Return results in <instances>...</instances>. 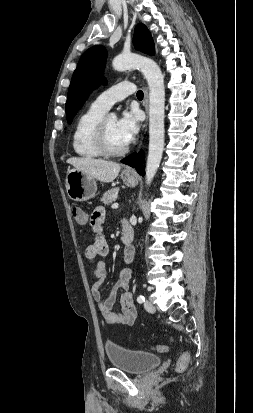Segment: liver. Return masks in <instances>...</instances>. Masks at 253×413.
Segmentation results:
<instances>
[{"label": "liver", "mask_w": 253, "mask_h": 413, "mask_svg": "<svg viewBox=\"0 0 253 413\" xmlns=\"http://www.w3.org/2000/svg\"><path fill=\"white\" fill-rule=\"evenodd\" d=\"M66 162L104 183L112 182L118 176L121 169L118 163L91 157H72Z\"/></svg>", "instance_id": "1"}]
</instances>
